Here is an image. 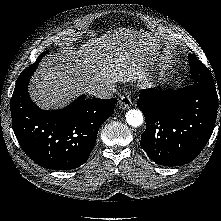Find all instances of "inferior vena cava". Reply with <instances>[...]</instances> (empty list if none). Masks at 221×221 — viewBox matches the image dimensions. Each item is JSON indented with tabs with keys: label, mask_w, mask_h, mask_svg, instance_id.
<instances>
[{
	"label": "inferior vena cava",
	"mask_w": 221,
	"mask_h": 221,
	"mask_svg": "<svg viewBox=\"0 0 221 221\" xmlns=\"http://www.w3.org/2000/svg\"><path fill=\"white\" fill-rule=\"evenodd\" d=\"M115 88L113 86L108 87H96L92 89L89 93L94 95L96 98L110 99L113 97Z\"/></svg>",
	"instance_id": "obj_1"
}]
</instances>
